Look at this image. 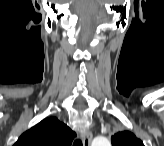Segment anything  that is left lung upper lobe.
I'll use <instances>...</instances> for the list:
<instances>
[{"mask_svg": "<svg viewBox=\"0 0 164 146\" xmlns=\"http://www.w3.org/2000/svg\"><path fill=\"white\" fill-rule=\"evenodd\" d=\"M112 146H144L143 142L130 131H122L111 137Z\"/></svg>", "mask_w": 164, "mask_h": 146, "instance_id": "5c2ea615", "label": "left lung upper lobe"}]
</instances>
